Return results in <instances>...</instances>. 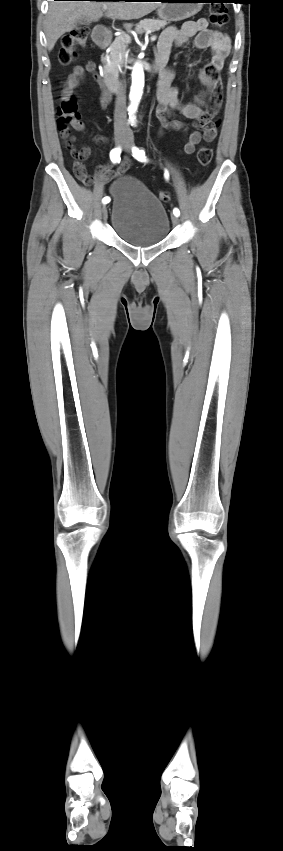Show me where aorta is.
Wrapping results in <instances>:
<instances>
[{"mask_svg":"<svg viewBox=\"0 0 283 851\" xmlns=\"http://www.w3.org/2000/svg\"><path fill=\"white\" fill-rule=\"evenodd\" d=\"M131 76L132 84L129 95L131 104L129 106V113L133 115L137 110L144 88V70L140 63L134 65Z\"/></svg>","mask_w":283,"mask_h":851,"instance_id":"762f6f07","label":"aorta"}]
</instances>
